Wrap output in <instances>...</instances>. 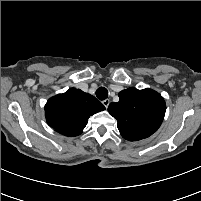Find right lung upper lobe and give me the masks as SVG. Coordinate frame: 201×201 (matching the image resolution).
I'll return each mask as SVG.
<instances>
[{
    "instance_id": "obj_1",
    "label": "right lung upper lobe",
    "mask_w": 201,
    "mask_h": 201,
    "mask_svg": "<svg viewBox=\"0 0 201 201\" xmlns=\"http://www.w3.org/2000/svg\"><path fill=\"white\" fill-rule=\"evenodd\" d=\"M104 109L94 96L70 88L47 101L45 116L48 125L56 132L73 137L82 133L91 115Z\"/></svg>"
}]
</instances>
